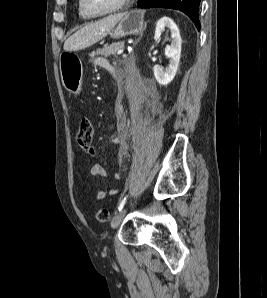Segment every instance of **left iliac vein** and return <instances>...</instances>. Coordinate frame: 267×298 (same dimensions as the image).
Listing matches in <instances>:
<instances>
[{"instance_id":"4c4485c4","label":"left iliac vein","mask_w":267,"mask_h":298,"mask_svg":"<svg viewBox=\"0 0 267 298\" xmlns=\"http://www.w3.org/2000/svg\"><path fill=\"white\" fill-rule=\"evenodd\" d=\"M126 212H127V209L124 208L115 214V216L112 218V221H111V227L113 229H116L120 225Z\"/></svg>"}]
</instances>
